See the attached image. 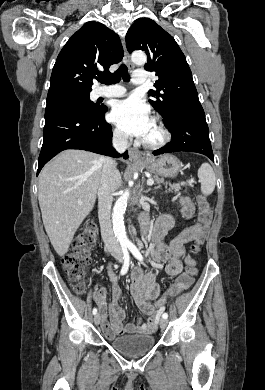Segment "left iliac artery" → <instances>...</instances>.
<instances>
[{
	"label": "left iliac artery",
	"mask_w": 265,
	"mask_h": 390,
	"mask_svg": "<svg viewBox=\"0 0 265 390\" xmlns=\"http://www.w3.org/2000/svg\"><path fill=\"white\" fill-rule=\"evenodd\" d=\"M128 249L131 251V253L134 255V257L136 259H138L140 261L143 260L142 254L140 253V251L137 249V247L134 244H132V243L128 244ZM162 318L163 319H167L168 318V314L167 313H163Z\"/></svg>",
	"instance_id": "obj_1"
}]
</instances>
